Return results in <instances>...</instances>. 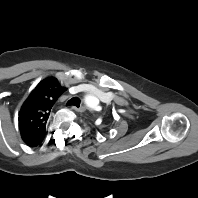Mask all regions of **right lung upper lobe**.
<instances>
[{
    "label": "right lung upper lobe",
    "instance_id": "cb5924a9",
    "mask_svg": "<svg viewBox=\"0 0 198 198\" xmlns=\"http://www.w3.org/2000/svg\"><path fill=\"white\" fill-rule=\"evenodd\" d=\"M65 91L56 78L50 77L31 92L19 112V129L26 144L36 146L42 142L51 109Z\"/></svg>",
    "mask_w": 198,
    "mask_h": 198
}]
</instances>
